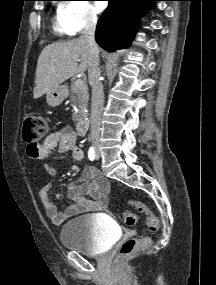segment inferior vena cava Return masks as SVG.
Here are the masks:
<instances>
[{"instance_id": "602c4592", "label": "inferior vena cava", "mask_w": 216, "mask_h": 285, "mask_svg": "<svg viewBox=\"0 0 216 285\" xmlns=\"http://www.w3.org/2000/svg\"><path fill=\"white\" fill-rule=\"evenodd\" d=\"M97 17L93 14L88 15L85 27L80 39L87 43L89 49V84L92 88V106H91V140L94 144L99 142L101 115L104 104L103 85L100 80L99 68V49L95 42V29Z\"/></svg>"}]
</instances>
